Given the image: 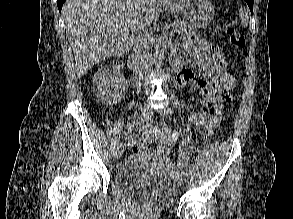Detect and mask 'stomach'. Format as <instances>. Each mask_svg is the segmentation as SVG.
I'll list each match as a JSON object with an SVG mask.
<instances>
[{"instance_id":"1","label":"stomach","mask_w":293,"mask_h":219,"mask_svg":"<svg viewBox=\"0 0 293 219\" xmlns=\"http://www.w3.org/2000/svg\"><path fill=\"white\" fill-rule=\"evenodd\" d=\"M162 7L168 12L179 13L196 28L206 27L214 18V8L209 0H176Z\"/></svg>"}]
</instances>
